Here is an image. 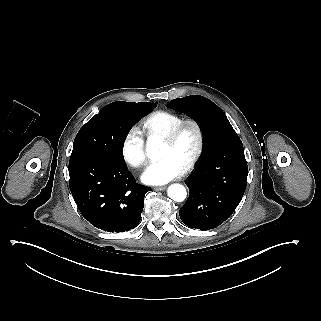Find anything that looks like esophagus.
<instances>
[{
	"mask_svg": "<svg viewBox=\"0 0 321 321\" xmlns=\"http://www.w3.org/2000/svg\"><path fill=\"white\" fill-rule=\"evenodd\" d=\"M166 189V186H161V187H155L154 191H163Z\"/></svg>",
	"mask_w": 321,
	"mask_h": 321,
	"instance_id": "1",
	"label": "esophagus"
}]
</instances>
